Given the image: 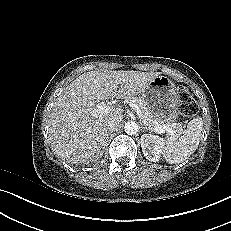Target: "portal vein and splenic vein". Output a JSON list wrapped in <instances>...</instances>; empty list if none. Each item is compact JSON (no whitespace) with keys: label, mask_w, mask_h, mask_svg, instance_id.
<instances>
[{"label":"portal vein and splenic vein","mask_w":231,"mask_h":231,"mask_svg":"<svg viewBox=\"0 0 231 231\" xmlns=\"http://www.w3.org/2000/svg\"><path fill=\"white\" fill-rule=\"evenodd\" d=\"M130 107H132L136 111L137 115L141 117L142 115L141 110L134 102H130ZM111 108L112 107L109 105H106L104 103H99L96 105V108L93 110V114L96 115L98 113H106L110 111ZM154 131L158 133L167 132L169 134H172L174 132L169 124L157 125L155 126Z\"/></svg>","instance_id":"18ae733b"}]
</instances>
